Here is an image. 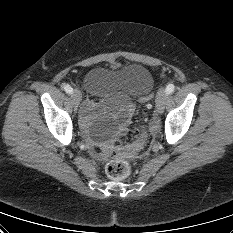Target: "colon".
I'll return each instance as SVG.
<instances>
[{"label": "colon", "instance_id": "1", "mask_svg": "<svg viewBox=\"0 0 233 233\" xmlns=\"http://www.w3.org/2000/svg\"><path fill=\"white\" fill-rule=\"evenodd\" d=\"M151 100V95H147L141 98V102L146 106L149 105ZM146 141V133L142 131L134 142L123 148V152L129 155H137L142 151ZM106 173L111 179L122 180L130 175L131 166L126 160L122 158H116L107 164Z\"/></svg>", "mask_w": 233, "mask_h": 233}]
</instances>
